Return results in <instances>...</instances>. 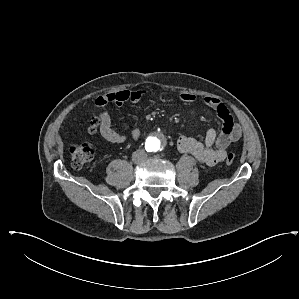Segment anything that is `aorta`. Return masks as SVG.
Returning a JSON list of instances; mask_svg holds the SVG:
<instances>
[{
  "label": "aorta",
  "mask_w": 299,
  "mask_h": 299,
  "mask_svg": "<svg viewBox=\"0 0 299 299\" xmlns=\"http://www.w3.org/2000/svg\"><path fill=\"white\" fill-rule=\"evenodd\" d=\"M165 139L160 133H154L145 140V149L151 154L158 153L164 146Z\"/></svg>",
  "instance_id": "762f6f07"
}]
</instances>
